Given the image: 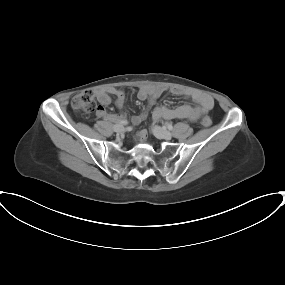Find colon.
<instances>
[{
  "label": "colon",
  "mask_w": 285,
  "mask_h": 285,
  "mask_svg": "<svg viewBox=\"0 0 285 285\" xmlns=\"http://www.w3.org/2000/svg\"><path fill=\"white\" fill-rule=\"evenodd\" d=\"M72 108L76 111L83 113H91L96 109V99L93 90H86L72 99ZM200 123L208 127L212 124V120L209 117H203Z\"/></svg>",
  "instance_id": "1"
}]
</instances>
